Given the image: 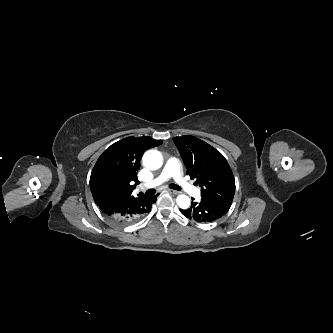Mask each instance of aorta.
Returning a JSON list of instances; mask_svg holds the SVG:
<instances>
[{"label":"aorta","instance_id":"aorta-1","mask_svg":"<svg viewBox=\"0 0 333 333\" xmlns=\"http://www.w3.org/2000/svg\"><path fill=\"white\" fill-rule=\"evenodd\" d=\"M142 160L145 167L151 170L159 169L162 166V155L157 150L147 151ZM176 202L181 209H187L190 206V198L187 195H179Z\"/></svg>","mask_w":333,"mask_h":333}]
</instances>
